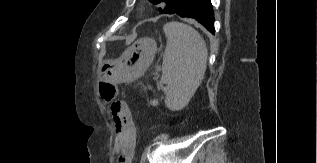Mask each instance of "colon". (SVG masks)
<instances>
[{"label": "colon", "instance_id": "colon-1", "mask_svg": "<svg viewBox=\"0 0 317 163\" xmlns=\"http://www.w3.org/2000/svg\"><path fill=\"white\" fill-rule=\"evenodd\" d=\"M117 92V86L111 82H104L100 86V95L104 101L112 102L113 112H118L122 107L120 102H115Z\"/></svg>", "mask_w": 317, "mask_h": 163}]
</instances>
